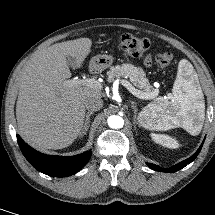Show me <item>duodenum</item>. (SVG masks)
Segmentation results:
<instances>
[{
	"label": "duodenum",
	"instance_id": "obj_1",
	"mask_svg": "<svg viewBox=\"0 0 215 215\" xmlns=\"http://www.w3.org/2000/svg\"><path fill=\"white\" fill-rule=\"evenodd\" d=\"M91 71L93 72V71H94V69H93V68H91Z\"/></svg>",
	"mask_w": 215,
	"mask_h": 215
}]
</instances>
